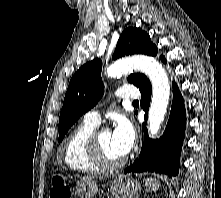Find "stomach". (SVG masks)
I'll list each match as a JSON object with an SVG mask.
<instances>
[{
  "instance_id": "obj_1",
  "label": "stomach",
  "mask_w": 221,
  "mask_h": 198,
  "mask_svg": "<svg viewBox=\"0 0 221 198\" xmlns=\"http://www.w3.org/2000/svg\"><path fill=\"white\" fill-rule=\"evenodd\" d=\"M141 190L140 184L125 176L115 178L110 184V193L114 198H132ZM97 192L96 182L81 179L76 184V194L80 198H93Z\"/></svg>"
}]
</instances>
